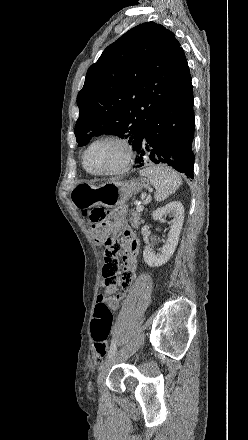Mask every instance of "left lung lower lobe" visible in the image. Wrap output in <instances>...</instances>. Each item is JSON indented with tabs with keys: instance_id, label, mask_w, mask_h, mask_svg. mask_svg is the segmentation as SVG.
<instances>
[{
	"instance_id": "left-lung-lower-lobe-1",
	"label": "left lung lower lobe",
	"mask_w": 248,
	"mask_h": 440,
	"mask_svg": "<svg viewBox=\"0 0 248 440\" xmlns=\"http://www.w3.org/2000/svg\"><path fill=\"white\" fill-rule=\"evenodd\" d=\"M193 88L190 82L171 97L148 122L134 149L137 167L153 162L171 166L193 179L195 119Z\"/></svg>"
}]
</instances>
